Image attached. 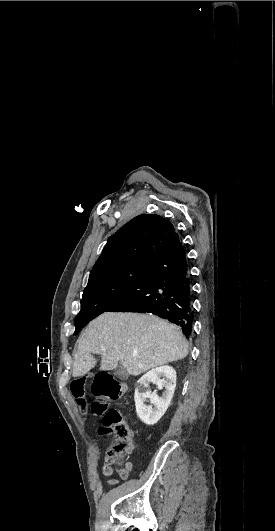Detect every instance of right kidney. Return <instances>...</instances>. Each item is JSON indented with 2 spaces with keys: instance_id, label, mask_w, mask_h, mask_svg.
<instances>
[{
  "instance_id": "1",
  "label": "right kidney",
  "mask_w": 275,
  "mask_h": 531,
  "mask_svg": "<svg viewBox=\"0 0 275 531\" xmlns=\"http://www.w3.org/2000/svg\"><path fill=\"white\" fill-rule=\"evenodd\" d=\"M164 377V379H160ZM149 383H155L158 389H165L162 397L156 393H150ZM176 387V371L173 367H156L151 369L146 375H143L135 385L134 401L137 417L145 425H155L159 419L166 413ZM149 399L151 405H145ZM154 405V409H152Z\"/></svg>"
}]
</instances>
